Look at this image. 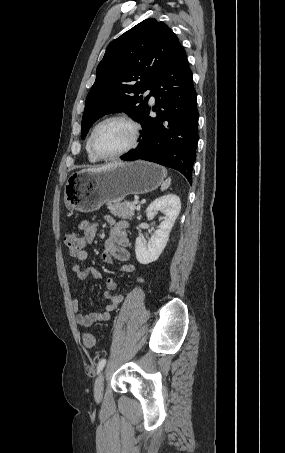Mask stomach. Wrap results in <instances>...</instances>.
<instances>
[{
	"instance_id": "obj_1",
	"label": "stomach",
	"mask_w": 285,
	"mask_h": 453,
	"mask_svg": "<svg viewBox=\"0 0 285 453\" xmlns=\"http://www.w3.org/2000/svg\"><path fill=\"white\" fill-rule=\"evenodd\" d=\"M166 175L163 166L142 160L111 164L96 172L77 171L66 183L65 201L73 210L93 212L105 203H120L128 195L155 190Z\"/></svg>"
}]
</instances>
